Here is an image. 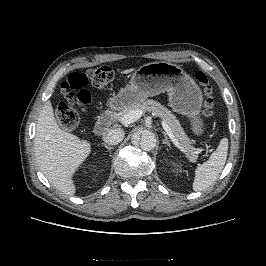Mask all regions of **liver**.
I'll return each mask as SVG.
<instances>
[{
	"label": "liver",
	"instance_id": "liver-1",
	"mask_svg": "<svg viewBox=\"0 0 266 266\" xmlns=\"http://www.w3.org/2000/svg\"><path fill=\"white\" fill-rule=\"evenodd\" d=\"M133 70L131 68L121 73L127 74ZM34 151L37 164L50 184L61 194L73 196L76 192L73 175L89 156L91 145L87 140L61 129L50 101L43 105L39 114Z\"/></svg>",
	"mask_w": 266,
	"mask_h": 266
}]
</instances>
